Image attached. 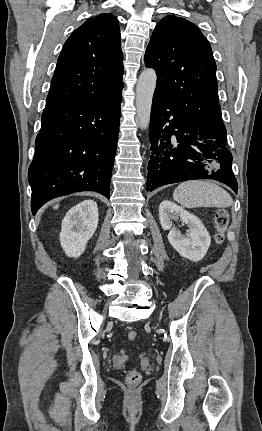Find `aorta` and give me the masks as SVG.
Wrapping results in <instances>:
<instances>
[{
    "instance_id": "aorta-1",
    "label": "aorta",
    "mask_w": 262,
    "mask_h": 431,
    "mask_svg": "<svg viewBox=\"0 0 262 431\" xmlns=\"http://www.w3.org/2000/svg\"><path fill=\"white\" fill-rule=\"evenodd\" d=\"M157 74L154 69H145L138 78L136 86L137 121L142 129L150 123L153 94L156 88Z\"/></svg>"
}]
</instances>
